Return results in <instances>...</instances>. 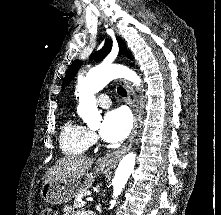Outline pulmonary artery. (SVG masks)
Returning a JSON list of instances; mask_svg holds the SVG:
<instances>
[{"label":"pulmonary artery","mask_w":221,"mask_h":215,"mask_svg":"<svg viewBox=\"0 0 221 215\" xmlns=\"http://www.w3.org/2000/svg\"><path fill=\"white\" fill-rule=\"evenodd\" d=\"M97 103L102 108H108L111 105V99L107 94L98 96Z\"/></svg>","instance_id":"e3ab8cb5"}]
</instances>
